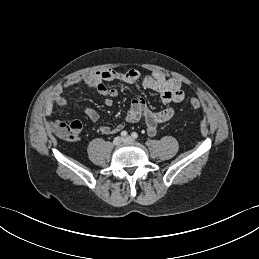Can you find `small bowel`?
<instances>
[{
	"label": "small bowel",
	"mask_w": 259,
	"mask_h": 259,
	"mask_svg": "<svg viewBox=\"0 0 259 259\" xmlns=\"http://www.w3.org/2000/svg\"><path fill=\"white\" fill-rule=\"evenodd\" d=\"M113 81H120L126 85L139 83L142 88L159 93L161 101L165 105L178 104L183 101L185 96L181 83L177 79L168 78L161 73L155 72L142 78L140 72L133 68L122 72L111 68H105L88 74L69 77L61 86L55 89L53 99L44 107L43 113L49 115L52 113L55 106H67V100L63 95L64 91L78 84L95 89L103 96L105 104L111 106L118 95L119 90L117 87H108L106 82ZM84 112L90 121L98 122L100 120V114L94 108L85 107ZM174 114V107L167 106L159 111H154L147 106L143 96L136 95L132 100L125 120L114 127L101 125L100 132L104 135H111L120 132L125 127L126 123L143 121L146 125L147 134L149 136H155L157 127L160 124L169 121Z\"/></svg>",
	"instance_id": "c3829d8e"
}]
</instances>
